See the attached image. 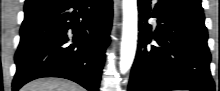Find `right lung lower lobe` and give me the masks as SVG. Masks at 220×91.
<instances>
[{
  "mask_svg": "<svg viewBox=\"0 0 220 91\" xmlns=\"http://www.w3.org/2000/svg\"><path fill=\"white\" fill-rule=\"evenodd\" d=\"M13 91L61 77L98 91L110 43L112 0H53L24 10Z\"/></svg>",
  "mask_w": 220,
  "mask_h": 91,
  "instance_id": "1",
  "label": "right lung lower lobe"
}]
</instances>
